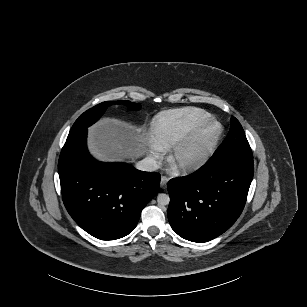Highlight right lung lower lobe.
<instances>
[{"instance_id": "right-lung-lower-lobe-1", "label": "right lung lower lobe", "mask_w": 307, "mask_h": 307, "mask_svg": "<svg viewBox=\"0 0 307 307\" xmlns=\"http://www.w3.org/2000/svg\"><path fill=\"white\" fill-rule=\"evenodd\" d=\"M87 128L68 137L58 163L64 205L92 236L115 240L137 225L142 209L157 194L160 175L129 164L95 160L86 145Z\"/></svg>"}]
</instances>
